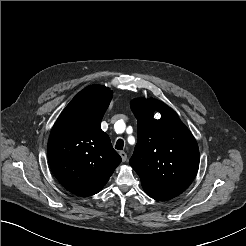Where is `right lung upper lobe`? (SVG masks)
<instances>
[{
  "label": "right lung upper lobe",
  "instance_id": "1",
  "mask_svg": "<svg viewBox=\"0 0 246 246\" xmlns=\"http://www.w3.org/2000/svg\"><path fill=\"white\" fill-rule=\"evenodd\" d=\"M111 99L109 88L88 86L72 99L52 128L47 147L51 170L76 195L101 191L121 162L100 127Z\"/></svg>",
  "mask_w": 246,
  "mask_h": 246
}]
</instances>
